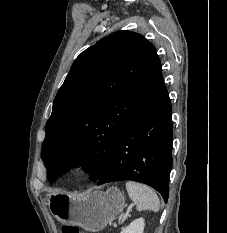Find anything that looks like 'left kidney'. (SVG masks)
Returning <instances> with one entry per match:
<instances>
[{
    "mask_svg": "<svg viewBox=\"0 0 227 233\" xmlns=\"http://www.w3.org/2000/svg\"><path fill=\"white\" fill-rule=\"evenodd\" d=\"M145 222L143 218L132 221L129 226L122 229L121 233H143Z\"/></svg>",
    "mask_w": 227,
    "mask_h": 233,
    "instance_id": "left-kidney-1",
    "label": "left kidney"
}]
</instances>
